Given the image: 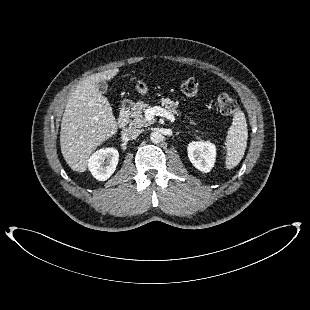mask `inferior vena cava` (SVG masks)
<instances>
[{
	"label": "inferior vena cava",
	"instance_id": "inferior-vena-cava-1",
	"mask_svg": "<svg viewBox=\"0 0 310 310\" xmlns=\"http://www.w3.org/2000/svg\"><path fill=\"white\" fill-rule=\"evenodd\" d=\"M125 132H126V135L130 137L131 139H136L142 131L129 127L128 129L125 130Z\"/></svg>",
	"mask_w": 310,
	"mask_h": 310
}]
</instances>
